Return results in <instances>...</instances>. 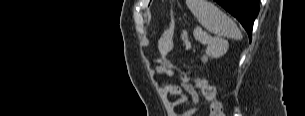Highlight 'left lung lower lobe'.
<instances>
[{"mask_svg":"<svg viewBox=\"0 0 305 116\" xmlns=\"http://www.w3.org/2000/svg\"><path fill=\"white\" fill-rule=\"evenodd\" d=\"M245 28L251 40L253 23L259 12V0H215Z\"/></svg>","mask_w":305,"mask_h":116,"instance_id":"obj_1","label":"left lung lower lobe"}]
</instances>
